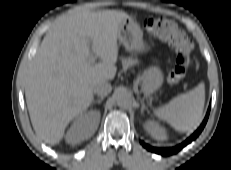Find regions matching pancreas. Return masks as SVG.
Listing matches in <instances>:
<instances>
[{
  "label": "pancreas",
  "instance_id": "obj_1",
  "mask_svg": "<svg viewBox=\"0 0 231 170\" xmlns=\"http://www.w3.org/2000/svg\"><path fill=\"white\" fill-rule=\"evenodd\" d=\"M121 62L124 69L131 68L139 63L138 59L133 57H122Z\"/></svg>",
  "mask_w": 231,
  "mask_h": 170
}]
</instances>
